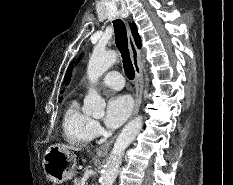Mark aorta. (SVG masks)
I'll return each instance as SVG.
<instances>
[{"mask_svg": "<svg viewBox=\"0 0 233 185\" xmlns=\"http://www.w3.org/2000/svg\"><path fill=\"white\" fill-rule=\"evenodd\" d=\"M117 53L115 51H102L95 49L90 57L87 75L91 83H96L98 79L116 62ZM105 101L96 92L90 89L84 99L83 111L94 118L104 115ZM143 126L141 116L130 121L117 137L113 149L108 157L104 172L101 176V185H113L122 162L125 149L133 142Z\"/></svg>", "mask_w": 233, "mask_h": 185, "instance_id": "obj_1", "label": "aorta"}]
</instances>
